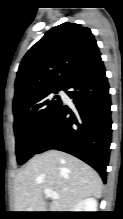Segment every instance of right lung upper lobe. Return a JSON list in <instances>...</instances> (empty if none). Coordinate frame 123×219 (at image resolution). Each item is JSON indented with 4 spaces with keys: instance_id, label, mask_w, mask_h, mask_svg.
Listing matches in <instances>:
<instances>
[{
    "instance_id": "obj_1",
    "label": "right lung upper lobe",
    "mask_w": 123,
    "mask_h": 219,
    "mask_svg": "<svg viewBox=\"0 0 123 219\" xmlns=\"http://www.w3.org/2000/svg\"><path fill=\"white\" fill-rule=\"evenodd\" d=\"M100 55L89 28L69 22L53 27L22 59L13 104L40 91L64 87Z\"/></svg>"
}]
</instances>
